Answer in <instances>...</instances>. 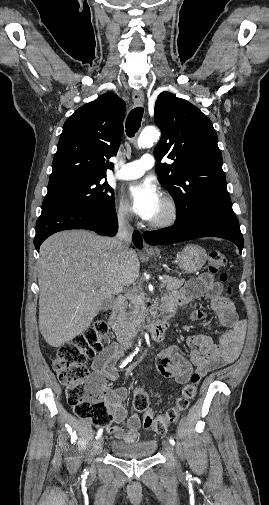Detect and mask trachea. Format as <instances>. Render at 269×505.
<instances>
[{
  "instance_id": "3493384b",
  "label": "trachea",
  "mask_w": 269,
  "mask_h": 505,
  "mask_svg": "<svg viewBox=\"0 0 269 505\" xmlns=\"http://www.w3.org/2000/svg\"><path fill=\"white\" fill-rule=\"evenodd\" d=\"M143 117V108L136 107L132 109L126 119V133L127 136L132 138L139 130Z\"/></svg>"
}]
</instances>
